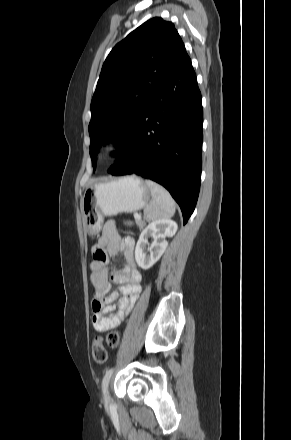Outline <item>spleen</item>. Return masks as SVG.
Segmentation results:
<instances>
[{
  "instance_id": "3e777b00",
  "label": "spleen",
  "mask_w": 291,
  "mask_h": 440,
  "mask_svg": "<svg viewBox=\"0 0 291 440\" xmlns=\"http://www.w3.org/2000/svg\"><path fill=\"white\" fill-rule=\"evenodd\" d=\"M152 195L151 202L144 210L145 217L150 220L168 219L175 213V202L170 193L161 185L151 180L145 181Z\"/></svg>"
}]
</instances>
